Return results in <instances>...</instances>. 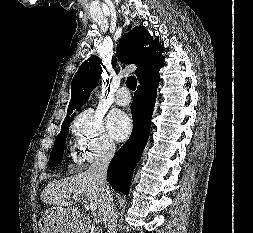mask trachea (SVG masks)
<instances>
[{
    "mask_svg": "<svg viewBox=\"0 0 253 233\" xmlns=\"http://www.w3.org/2000/svg\"><path fill=\"white\" fill-rule=\"evenodd\" d=\"M126 85L127 87L134 91L136 89V86H137V80H136V77L135 76H129L127 78V81H126Z\"/></svg>",
    "mask_w": 253,
    "mask_h": 233,
    "instance_id": "trachea-1",
    "label": "trachea"
}]
</instances>
